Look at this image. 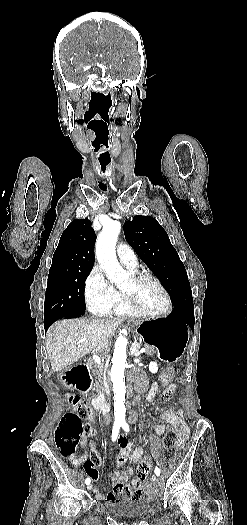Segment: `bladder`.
Returning a JSON list of instances; mask_svg holds the SVG:
<instances>
[{
	"label": "bladder",
	"instance_id": "31cf9c89",
	"mask_svg": "<svg viewBox=\"0 0 247 525\" xmlns=\"http://www.w3.org/2000/svg\"><path fill=\"white\" fill-rule=\"evenodd\" d=\"M155 499L150 496L141 498H125L119 501L106 502V511L118 518H136L149 513V509L154 504Z\"/></svg>",
	"mask_w": 247,
	"mask_h": 525
}]
</instances>
